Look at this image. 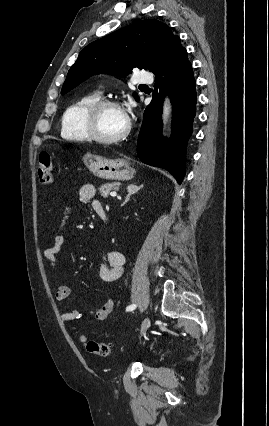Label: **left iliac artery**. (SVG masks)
<instances>
[{
	"label": "left iliac artery",
	"instance_id": "1",
	"mask_svg": "<svg viewBox=\"0 0 269 426\" xmlns=\"http://www.w3.org/2000/svg\"><path fill=\"white\" fill-rule=\"evenodd\" d=\"M136 304H131L126 308V311H133L136 308Z\"/></svg>",
	"mask_w": 269,
	"mask_h": 426
}]
</instances>
